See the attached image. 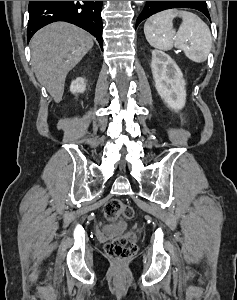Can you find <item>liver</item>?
<instances>
[{
    "mask_svg": "<svg viewBox=\"0 0 237 300\" xmlns=\"http://www.w3.org/2000/svg\"><path fill=\"white\" fill-rule=\"evenodd\" d=\"M91 35L69 23H51L35 33L30 41L31 65L37 81L60 103L65 79L92 49Z\"/></svg>",
    "mask_w": 237,
    "mask_h": 300,
    "instance_id": "obj_1",
    "label": "liver"
}]
</instances>
